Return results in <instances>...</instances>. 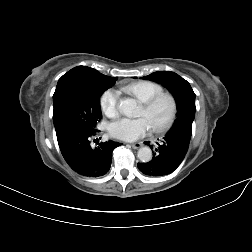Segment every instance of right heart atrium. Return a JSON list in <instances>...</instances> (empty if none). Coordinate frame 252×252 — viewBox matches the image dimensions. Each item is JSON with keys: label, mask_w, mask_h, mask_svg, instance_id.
<instances>
[{"label": "right heart atrium", "mask_w": 252, "mask_h": 252, "mask_svg": "<svg viewBox=\"0 0 252 252\" xmlns=\"http://www.w3.org/2000/svg\"><path fill=\"white\" fill-rule=\"evenodd\" d=\"M119 102V92L113 89L104 91L100 98L102 111L110 118H113L118 114Z\"/></svg>", "instance_id": "right-heart-atrium-1"}]
</instances>
